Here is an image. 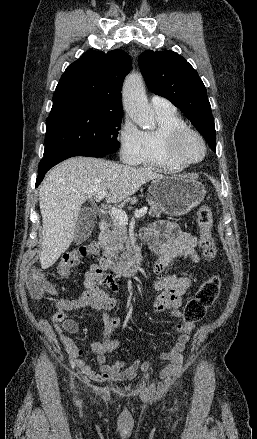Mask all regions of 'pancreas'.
I'll use <instances>...</instances> for the list:
<instances>
[{
  "label": "pancreas",
  "instance_id": "cf45deb5",
  "mask_svg": "<svg viewBox=\"0 0 257 439\" xmlns=\"http://www.w3.org/2000/svg\"><path fill=\"white\" fill-rule=\"evenodd\" d=\"M148 202L150 204L149 216L160 217L164 211L162 206L153 198L148 199ZM110 226L111 231L105 233L103 248L108 262L113 264L122 259L124 251L129 247V238L126 226L119 224L116 219L112 221Z\"/></svg>",
  "mask_w": 257,
  "mask_h": 439
}]
</instances>
